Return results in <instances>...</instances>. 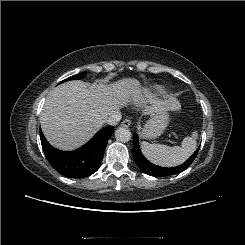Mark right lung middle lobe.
Instances as JSON below:
<instances>
[{
  "label": "right lung middle lobe",
  "mask_w": 245,
  "mask_h": 245,
  "mask_svg": "<svg viewBox=\"0 0 245 245\" xmlns=\"http://www.w3.org/2000/svg\"><path fill=\"white\" fill-rule=\"evenodd\" d=\"M85 74H86V72H82L81 74L73 76L71 78H68V79H66V80H64L62 82L69 81V80H78L80 78H83L85 76Z\"/></svg>",
  "instance_id": "1"
}]
</instances>
